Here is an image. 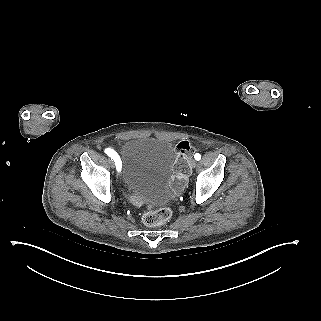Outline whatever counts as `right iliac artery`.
<instances>
[{"mask_svg":"<svg viewBox=\"0 0 321 321\" xmlns=\"http://www.w3.org/2000/svg\"><path fill=\"white\" fill-rule=\"evenodd\" d=\"M105 153L114 160L117 170H119L120 160L118 154L110 148L105 149Z\"/></svg>","mask_w":321,"mask_h":321,"instance_id":"1","label":"right iliac artery"}]
</instances>
